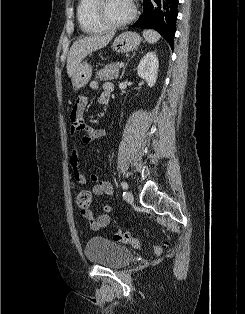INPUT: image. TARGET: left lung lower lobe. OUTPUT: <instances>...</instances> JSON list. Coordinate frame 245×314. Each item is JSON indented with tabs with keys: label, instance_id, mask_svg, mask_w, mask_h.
Wrapping results in <instances>:
<instances>
[{
	"label": "left lung lower lobe",
	"instance_id": "0a47b994",
	"mask_svg": "<svg viewBox=\"0 0 245 314\" xmlns=\"http://www.w3.org/2000/svg\"><path fill=\"white\" fill-rule=\"evenodd\" d=\"M178 0H143V14L132 25L158 31L173 47Z\"/></svg>",
	"mask_w": 245,
	"mask_h": 314
}]
</instances>
